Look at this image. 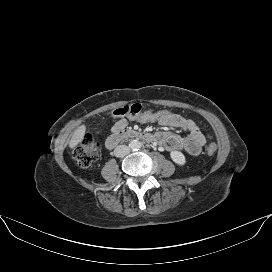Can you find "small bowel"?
Listing matches in <instances>:
<instances>
[{
	"instance_id": "obj_1",
	"label": "small bowel",
	"mask_w": 272,
	"mask_h": 272,
	"mask_svg": "<svg viewBox=\"0 0 272 272\" xmlns=\"http://www.w3.org/2000/svg\"><path fill=\"white\" fill-rule=\"evenodd\" d=\"M158 123L163 127H174L184 130L186 136L172 132L156 133V139L167 150H184L190 155H199L205 145L208 136L200 131L194 121L178 114L170 113L162 115ZM127 126L126 119H120L114 126V131Z\"/></svg>"
}]
</instances>
